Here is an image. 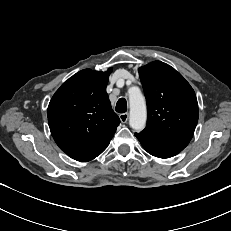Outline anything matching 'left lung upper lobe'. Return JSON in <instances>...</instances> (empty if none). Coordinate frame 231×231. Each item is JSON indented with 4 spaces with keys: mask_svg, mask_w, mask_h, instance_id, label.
Wrapping results in <instances>:
<instances>
[{
    "mask_svg": "<svg viewBox=\"0 0 231 231\" xmlns=\"http://www.w3.org/2000/svg\"><path fill=\"white\" fill-rule=\"evenodd\" d=\"M147 101V125L136 133L159 145L182 151L198 122V103L190 84L173 67L154 61L139 69Z\"/></svg>",
    "mask_w": 231,
    "mask_h": 231,
    "instance_id": "obj_1",
    "label": "left lung upper lobe"
}]
</instances>
